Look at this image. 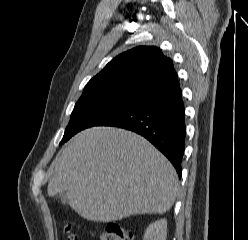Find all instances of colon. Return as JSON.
Wrapping results in <instances>:
<instances>
[{"label": "colon", "mask_w": 248, "mask_h": 240, "mask_svg": "<svg viewBox=\"0 0 248 240\" xmlns=\"http://www.w3.org/2000/svg\"><path fill=\"white\" fill-rule=\"evenodd\" d=\"M65 234L67 240H78L70 225L65 227ZM100 240H133V236L117 223H109Z\"/></svg>", "instance_id": "5ec220e1"}]
</instances>
